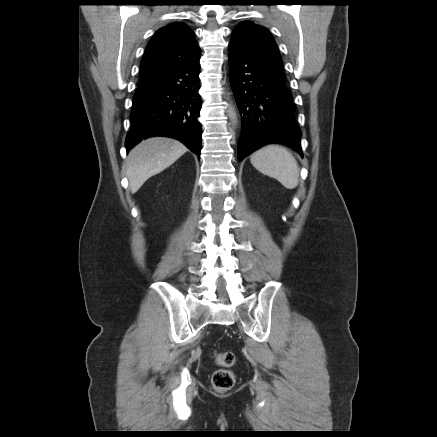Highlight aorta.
Returning <instances> with one entry per match:
<instances>
[{
  "instance_id": "aorta-1",
  "label": "aorta",
  "mask_w": 437,
  "mask_h": 437,
  "mask_svg": "<svg viewBox=\"0 0 437 437\" xmlns=\"http://www.w3.org/2000/svg\"><path fill=\"white\" fill-rule=\"evenodd\" d=\"M228 113H229V118H230L232 124L235 125L237 123V115H236V112L234 110V107L230 106L228 109Z\"/></svg>"
}]
</instances>
